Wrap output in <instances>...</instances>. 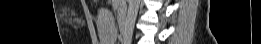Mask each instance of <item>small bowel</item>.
<instances>
[{
	"label": "small bowel",
	"mask_w": 261,
	"mask_h": 44,
	"mask_svg": "<svg viewBox=\"0 0 261 44\" xmlns=\"http://www.w3.org/2000/svg\"><path fill=\"white\" fill-rule=\"evenodd\" d=\"M117 10H123L124 11V4L122 2H119L117 5Z\"/></svg>",
	"instance_id": "c3829d8e"
}]
</instances>
